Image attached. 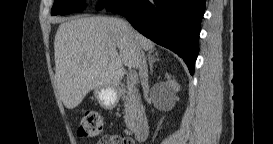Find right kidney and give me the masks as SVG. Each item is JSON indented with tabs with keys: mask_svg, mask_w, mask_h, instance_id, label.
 Here are the masks:
<instances>
[{
	"mask_svg": "<svg viewBox=\"0 0 273 144\" xmlns=\"http://www.w3.org/2000/svg\"><path fill=\"white\" fill-rule=\"evenodd\" d=\"M155 88L159 90V92L162 93L165 98L171 99L175 97V93L178 91L179 85L176 81L169 79L166 83H157Z\"/></svg>",
	"mask_w": 273,
	"mask_h": 144,
	"instance_id": "obj_1",
	"label": "right kidney"
}]
</instances>
